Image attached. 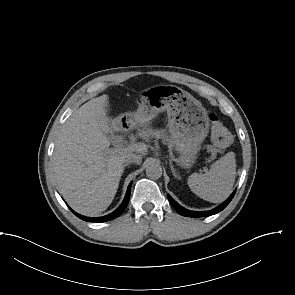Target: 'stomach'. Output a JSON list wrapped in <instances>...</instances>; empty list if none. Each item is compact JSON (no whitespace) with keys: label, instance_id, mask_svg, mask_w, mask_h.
Returning a JSON list of instances; mask_svg holds the SVG:
<instances>
[{"label":"stomach","instance_id":"0dacf381","mask_svg":"<svg viewBox=\"0 0 295 295\" xmlns=\"http://www.w3.org/2000/svg\"><path fill=\"white\" fill-rule=\"evenodd\" d=\"M166 111L168 128L179 152L182 166H191L209 131V120L202 103L190 93L174 85H158L144 91L139 107L127 113L126 122L131 126L150 121Z\"/></svg>","mask_w":295,"mask_h":295}]
</instances>
